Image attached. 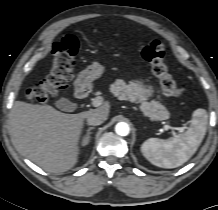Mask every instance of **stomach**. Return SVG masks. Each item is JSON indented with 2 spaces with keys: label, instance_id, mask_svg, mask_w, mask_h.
I'll list each match as a JSON object with an SVG mask.
<instances>
[{
  "label": "stomach",
  "instance_id": "obj_1",
  "mask_svg": "<svg viewBox=\"0 0 218 210\" xmlns=\"http://www.w3.org/2000/svg\"><path fill=\"white\" fill-rule=\"evenodd\" d=\"M104 66L98 62H94L89 65L85 70L80 72L76 80L74 81V86L77 91L83 90L89 87L92 82L102 76L104 73Z\"/></svg>",
  "mask_w": 218,
  "mask_h": 210
}]
</instances>
